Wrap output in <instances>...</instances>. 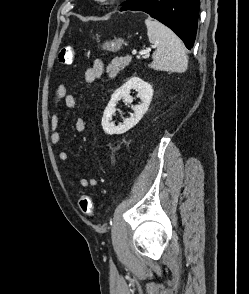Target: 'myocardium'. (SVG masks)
<instances>
[{
  "mask_svg": "<svg viewBox=\"0 0 249 294\" xmlns=\"http://www.w3.org/2000/svg\"><path fill=\"white\" fill-rule=\"evenodd\" d=\"M95 1H97V2H99L101 4H103V5H107V4H111L113 2H116L118 0H95Z\"/></svg>",
  "mask_w": 249,
  "mask_h": 294,
  "instance_id": "myocardium-1",
  "label": "myocardium"
}]
</instances>
